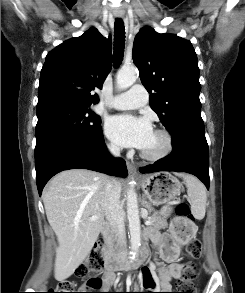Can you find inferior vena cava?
<instances>
[{
	"label": "inferior vena cava",
	"mask_w": 245,
	"mask_h": 293,
	"mask_svg": "<svg viewBox=\"0 0 245 293\" xmlns=\"http://www.w3.org/2000/svg\"><path fill=\"white\" fill-rule=\"evenodd\" d=\"M110 153L115 156H120V148L117 146L109 147ZM121 184L115 180H108L105 186L104 206L105 215L111 226L112 232L115 235L120 251L126 252V233L124 226V213L120 204Z\"/></svg>",
	"instance_id": "obj_1"
}]
</instances>
